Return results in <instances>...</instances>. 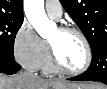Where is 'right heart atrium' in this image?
I'll return each instance as SVG.
<instances>
[{"label": "right heart atrium", "instance_id": "1", "mask_svg": "<svg viewBox=\"0 0 107 89\" xmlns=\"http://www.w3.org/2000/svg\"><path fill=\"white\" fill-rule=\"evenodd\" d=\"M13 52L16 60L23 67L37 71L46 58L48 44L27 21H24L15 35Z\"/></svg>", "mask_w": 107, "mask_h": 89}]
</instances>
